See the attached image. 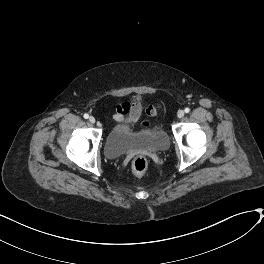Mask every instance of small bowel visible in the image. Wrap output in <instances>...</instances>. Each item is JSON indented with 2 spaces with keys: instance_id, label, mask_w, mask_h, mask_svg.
<instances>
[{
  "instance_id": "c3829d8e",
  "label": "small bowel",
  "mask_w": 264,
  "mask_h": 264,
  "mask_svg": "<svg viewBox=\"0 0 264 264\" xmlns=\"http://www.w3.org/2000/svg\"><path fill=\"white\" fill-rule=\"evenodd\" d=\"M142 111V103L140 100L125 102L119 106L118 112L114 114L113 119L120 124L129 128L133 127L138 121ZM147 123H143L145 127Z\"/></svg>"
}]
</instances>
